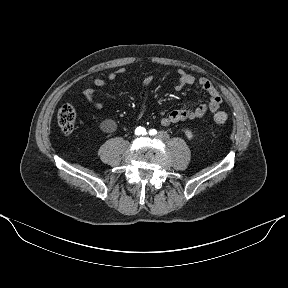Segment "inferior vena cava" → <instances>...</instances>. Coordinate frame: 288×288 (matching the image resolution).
<instances>
[{
    "instance_id": "obj_1",
    "label": "inferior vena cava",
    "mask_w": 288,
    "mask_h": 288,
    "mask_svg": "<svg viewBox=\"0 0 288 288\" xmlns=\"http://www.w3.org/2000/svg\"><path fill=\"white\" fill-rule=\"evenodd\" d=\"M158 138L162 143H167L169 141V135L165 131H160L158 133Z\"/></svg>"
}]
</instances>
